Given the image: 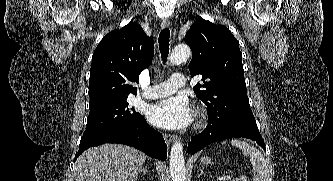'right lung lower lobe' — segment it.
Returning a JSON list of instances; mask_svg holds the SVG:
<instances>
[{"label":"right lung lower lobe","mask_w":333,"mask_h":181,"mask_svg":"<svg viewBox=\"0 0 333 181\" xmlns=\"http://www.w3.org/2000/svg\"><path fill=\"white\" fill-rule=\"evenodd\" d=\"M104 143L129 145L143 151L150 157L160 160L166 159L167 146L162 135L152 129L143 116L126 126L83 135L76 157L89 147Z\"/></svg>","instance_id":"98d812e1"}]
</instances>
